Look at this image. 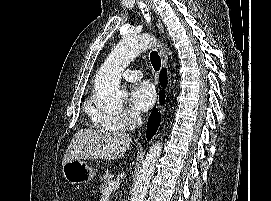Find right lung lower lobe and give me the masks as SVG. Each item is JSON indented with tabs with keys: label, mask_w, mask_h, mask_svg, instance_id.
<instances>
[{
	"label": "right lung lower lobe",
	"mask_w": 271,
	"mask_h": 201,
	"mask_svg": "<svg viewBox=\"0 0 271 201\" xmlns=\"http://www.w3.org/2000/svg\"><path fill=\"white\" fill-rule=\"evenodd\" d=\"M160 83L165 87L167 84V74L166 70L162 69L160 72ZM164 102V93L160 92V103ZM161 114L158 109L154 108L149 117L148 125H147V139L150 140L152 136L156 133L159 124H160Z\"/></svg>",
	"instance_id": "1"
}]
</instances>
